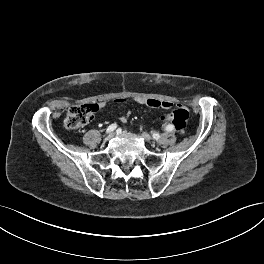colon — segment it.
<instances>
[{
  "label": "colon",
  "mask_w": 264,
  "mask_h": 264,
  "mask_svg": "<svg viewBox=\"0 0 264 264\" xmlns=\"http://www.w3.org/2000/svg\"><path fill=\"white\" fill-rule=\"evenodd\" d=\"M98 109L99 106L97 104H78L70 107L65 117V126L71 130L84 127L91 121L93 114ZM188 119L189 113L187 109L181 105L160 117V120L164 124H172L179 133L185 132Z\"/></svg>",
  "instance_id": "5ec220e1"
}]
</instances>
